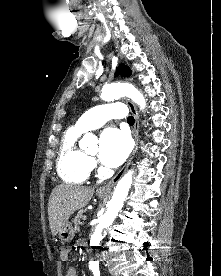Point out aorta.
<instances>
[{"label": "aorta", "instance_id": "1", "mask_svg": "<svg viewBox=\"0 0 221 276\" xmlns=\"http://www.w3.org/2000/svg\"><path fill=\"white\" fill-rule=\"evenodd\" d=\"M123 96L131 98L141 109L146 107V101L142 93L129 84H110L104 86L101 90V98L104 101H112ZM91 138L92 134L87 133L84 135L82 141L87 143ZM132 179L133 171L130 170L117 183L112 198L107 204V211L103 216L100 217L99 223L91 238L92 246H99L100 241L102 240V232L113 223L119 211L121 210L131 187ZM92 263L97 262L93 261Z\"/></svg>", "mask_w": 221, "mask_h": 276}]
</instances>
